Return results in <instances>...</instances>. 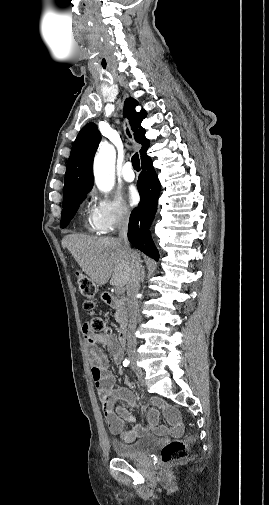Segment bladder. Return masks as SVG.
Returning a JSON list of instances; mask_svg holds the SVG:
<instances>
[{"label": "bladder", "instance_id": "obj_1", "mask_svg": "<svg viewBox=\"0 0 269 505\" xmlns=\"http://www.w3.org/2000/svg\"><path fill=\"white\" fill-rule=\"evenodd\" d=\"M156 438L147 435L134 442L112 441V448L119 458L139 459L146 454L155 444Z\"/></svg>", "mask_w": 269, "mask_h": 505}]
</instances>
